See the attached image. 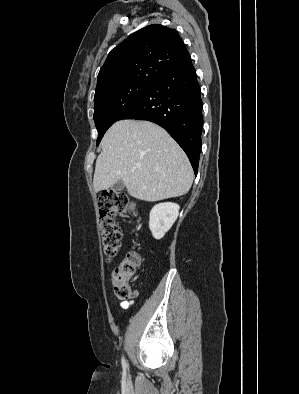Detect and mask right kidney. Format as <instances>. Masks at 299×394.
<instances>
[{"label":"right kidney","mask_w":299,"mask_h":394,"mask_svg":"<svg viewBox=\"0 0 299 394\" xmlns=\"http://www.w3.org/2000/svg\"><path fill=\"white\" fill-rule=\"evenodd\" d=\"M179 205L172 202L156 204L150 211L149 228L153 237L159 240L169 231L179 214Z\"/></svg>","instance_id":"obj_1"}]
</instances>
